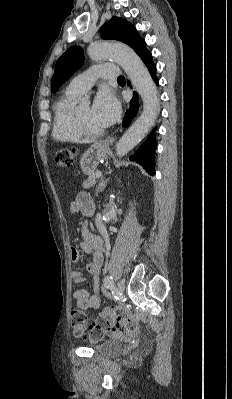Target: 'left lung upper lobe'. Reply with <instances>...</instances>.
<instances>
[{
  "mask_svg": "<svg viewBox=\"0 0 232 399\" xmlns=\"http://www.w3.org/2000/svg\"><path fill=\"white\" fill-rule=\"evenodd\" d=\"M100 33L104 40L124 42L135 52L145 45L144 39L139 36L135 27L125 19L116 16L101 27ZM83 61L84 55L81 47L73 46L63 53L56 63L52 76V91L55 92L76 69H79Z\"/></svg>",
  "mask_w": 232,
  "mask_h": 399,
  "instance_id": "obj_1",
  "label": "left lung upper lobe"
}]
</instances>
